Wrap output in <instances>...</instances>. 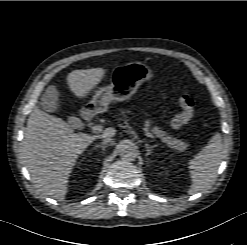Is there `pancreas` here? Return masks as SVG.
Instances as JSON below:
<instances>
[{"instance_id":"obj_1","label":"pancreas","mask_w":247,"mask_h":245,"mask_svg":"<svg viewBox=\"0 0 247 245\" xmlns=\"http://www.w3.org/2000/svg\"><path fill=\"white\" fill-rule=\"evenodd\" d=\"M122 114H129V111L122 112ZM152 133L159 137L164 143L167 144L168 147L172 149H175L179 152H184L188 149L189 145L185 141L169 135L167 132L162 131V129L158 128L157 126L153 127Z\"/></svg>"}]
</instances>
